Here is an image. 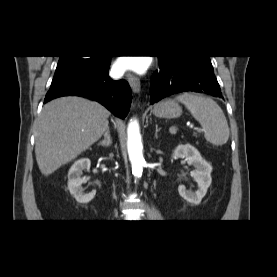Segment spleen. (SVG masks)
Listing matches in <instances>:
<instances>
[{
	"label": "spleen",
	"mask_w": 277,
	"mask_h": 277,
	"mask_svg": "<svg viewBox=\"0 0 277 277\" xmlns=\"http://www.w3.org/2000/svg\"><path fill=\"white\" fill-rule=\"evenodd\" d=\"M201 124L205 139L220 146L229 138V127L220 106L211 98L193 93H183L176 97Z\"/></svg>",
	"instance_id": "spleen-1"
}]
</instances>
